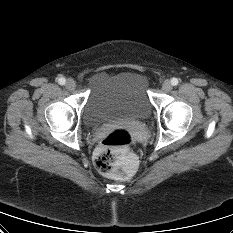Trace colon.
<instances>
[{"label":"colon","instance_id":"1","mask_svg":"<svg viewBox=\"0 0 233 233\" xmlns=\"http://www.w3.org/2000/svg\"><path fill=\"white\" fill-rule=\"evenodd\" d=\"M132 134L124 128H115L100 142L94 157L99 172L117 178H128L133 173L134 160L129 151Z\"/></svg>","mask_w":233,"mask_h":233}]
</instances>
